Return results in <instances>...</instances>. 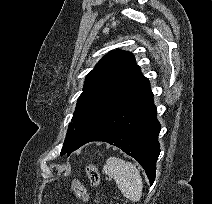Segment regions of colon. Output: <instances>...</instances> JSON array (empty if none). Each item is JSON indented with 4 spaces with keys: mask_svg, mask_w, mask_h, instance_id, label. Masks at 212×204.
<instances>
[{
    "mask_svg": "<svg viewBox=\"0 0 212 204\" xmlns=\"http://www.w3.org/2000/svg\"><path fill=\"white\" fill-rule=\"evenodd\" d=\"M86 171L91 185L93 187H98L100 185V175L97 167L94 164H90L87 166ZM71 187L77 198L82 201H87L89 199L87 189L78 179L72 181Z\"/></svg>",
    "mask_w": 212,
    "mask_h": 204,
    "instance_id": "colon-1",
    "label": "colon"
}]
</instances>
